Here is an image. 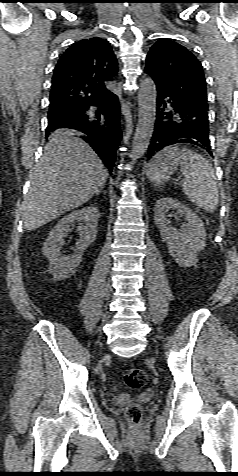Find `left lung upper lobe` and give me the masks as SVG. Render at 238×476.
Here are the masks:
<instances>
[{
    "label": "left lung upper lobe",
    "mask_w": 238,
    "mask_h": 476,
    "mask_svg": "<svg viewBox=\"0 0 238 476\" xmlns=\"http://www.w3.org/2000/svg\"><path fill=\"white\" fill-rule=\"evenodd\" d=\"M146 72L158 89L184 103L208 109L202 65L180 44L158 40L146 57Z\"/></svg>",
    "instance_id": "obj_1"
}]
</instances>
